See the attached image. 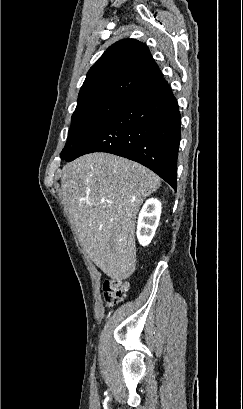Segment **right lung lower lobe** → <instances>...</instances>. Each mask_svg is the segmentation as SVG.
<instances>
[{"label": "right lung lower lobe", "mask_w": 243, "mask_h": 409, "mask_svg": "<svg viewBox=\"0 0 243 409\" xmlns=\"http://www.w3.org/2000/svg\"><path fill=\"white\" fill-rule=\"evenodd\" d=\"M180 125L177 101L160 78L126 98L66 161L92 152L112 153L148 167L176 191Z\"/></svg>", "instance_id": "98d812e1"}]
</instances>
